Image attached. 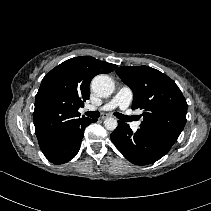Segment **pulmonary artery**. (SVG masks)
<instances>
[{"instance_id":"obj_1","label":"pulmonary artery","mask_w":211,"mask_h":211,"mask_svg":"<svg viewBox=\"0 0 211 211\" xmlns=\"http://www.w3.org/2000/svg\"><path fill=\"white\" fill-rule=\"evenodd\" d=\"M133 99V93L132 90L124 86L118 90V92L115 94V96L106 104H104L100 110H112L115 108H120L121 110H125L129 107L131 101ZM88 110H95V107L88 106ZM132 128L134 130H137L139 128V123L134 122L132 124Z\"/></svg>"}]
</instances>
